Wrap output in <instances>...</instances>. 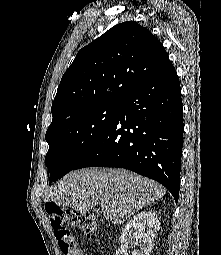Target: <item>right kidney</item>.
<instances>
[{"label":"right kidney","instance_id":"obj_1","mask_svg":"<svg viewBox=\"0 0 221 255\" xmlns=\"http://www.w3.org/2000/svg\"><path fill=\"white\" fill-rule=\"evenodd\" d=\"M160 228L158 216L152 211H142L127 222L120 234L121 246L115 255H128V245H132V255H149L154 238Z\"/></svg>","mask_w":221,"mask_h":255}]
</instances>
